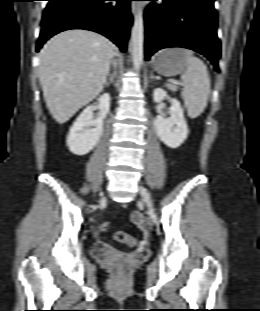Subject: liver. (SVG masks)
I'll return each instance as SVG.
<instances>
[{"label":"liver","instance_id":"6515ba94","mask_svg":"<svg viewBox=\"0 0 260 311\" xmlns=\"http://www.w3.org/2000/svg\"><path fill=\"white\" fill-rule=\"evenodd\" d=\"M115 50L106 37L81 29L61 32L43 47L39 79L57 123L67 122L103 90Z\"/></svg>","mask_w":260,"mask_h":311}]
</instances>
